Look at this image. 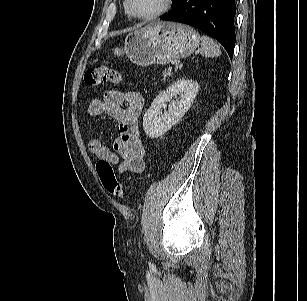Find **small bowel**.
<instances>
[{
  "label": "small bowel",
  "instance_id": "c3829d8e",
  "mask_svg": "<svg viewBox=\"0 0 307 301\" xmlns=\"http://www.w3.org/2000/svg\"><path fill=\"white\" fill-rule=\"evenodd\" d=\"M143 105L144 99L139 92L124 93L119 90H107L102 99H93L89 103L88 113L91 116L108 115L119 126L113 150L94 138L88 143L89 151L116 166L121 175L127 172L142 173L145 169V149L138 129Z\"/></svg>",
  "mask_w": 307,
  "mask_h": 301
}]
</instances>
